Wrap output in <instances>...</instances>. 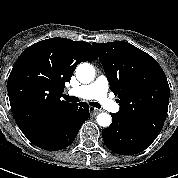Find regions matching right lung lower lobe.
I'll list each match as a JSON object with an SVG mask.
<instances>
[{
	"label": "right lung lower lobe",
	"instance_id": "right-lung-lower-lobe-1",
	"mask_svg": "<svg viewBox=\"0 0 178 178\" xmlns=\"http://www.w3.org/2000/svg\"><path fill=\"white\" fill-rule=\"evenodd\" d=\"M89 117V105L81 102L74 104L65 114L39 122L22 132L37 147L58 151L74 141L81 125Z\"/></svg>",
	"mask_w": 178,
	"mask_h": 178
}]
</instances>
